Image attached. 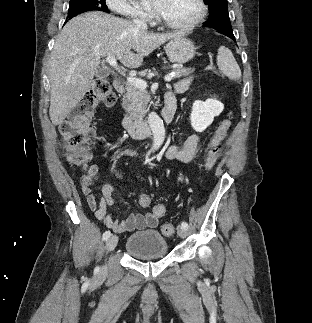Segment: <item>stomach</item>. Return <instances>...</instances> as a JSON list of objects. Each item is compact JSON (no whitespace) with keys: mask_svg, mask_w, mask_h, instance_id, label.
<instances>
[{"mask_svg":"<svg viewBox=\"0 0 312 323\" xmlns=\"http://www.w3.org/2000/svg\"><path fill=\"white\" fill-rule=\"evenodd\" d=\"M165 52L170 62L175 64H186L189 60H192L195 56L196 48L188 38H173L171 42H168L165 46Z\"/></svg>","mask_w":312,"mask_h":323,"instance_id":"stomach-1","label":"stomach"}]
</instances>
